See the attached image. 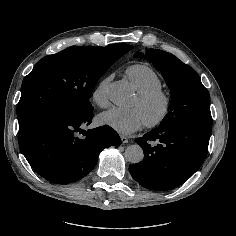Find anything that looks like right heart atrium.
<instances>
[{
    "label": "right heart atrium",
    "instance_id": "d8ad5b80",
    "mask_svg": "<svg viewBox=\"0 0 236 236\" xmlns=\"http://www.w3.org/2000/svg\"><path fill=\"white\" fill-rule=\"evenodd\" d=\"M111 78L112 75H108L105 78H103L92 91V100L98 106L103 107L106 106L108 103L106 87Z\"/></svg>",
    "mask_w": 236,
    "mask_h": 236
}]
</instances>
